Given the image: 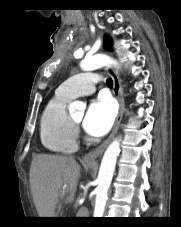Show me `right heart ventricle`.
<instances>
[{
  "label": "right heart ventricle",
  "mask_w": 181,
  "mask_h": 227,
  "mask_svg": "<svg viewBox=\"0 0 181 227\" xmlns=\"http://www.w3.org/2000/svg\"><path fill=\"white\" fill-rule=\"evenodd\" d=\"M70 100L56 91L42 112L40 138L49 151L70 154L78 149L77 131L66 110Z\"/></svg>",
  "instance_id": "1"
}]
</instances>
